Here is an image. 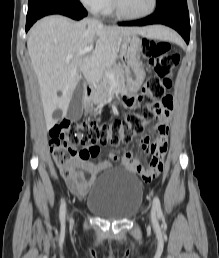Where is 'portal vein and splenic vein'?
<instances>
[{
    "label": "portal vein and splenic vein",
    "instance_id": "18ae733b",
    "mask_svg": "<svg viewBox=\"0 0 219 258\" xmlns=\"http://www.w3.org/2000/svg\"><path fill=\"white\" fill-rule=\"evenodd\" d=\"M93 49V45H90L89 47L85 48L83 51L80 52V55H85L86 53L90 52ZM73 58V56H68L66 58L67 61H70ZM106 76L113 77V74L111 72H106Z\"/></svg>",
    "mask_w": 219,
    "mask_h": 258
}]
</instances>
